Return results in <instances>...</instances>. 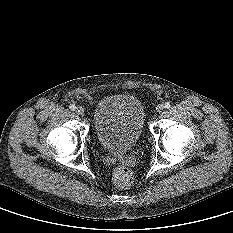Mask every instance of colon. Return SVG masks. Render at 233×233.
Wrapping results in <instances>:
<instances>
[{"label":"colon","mask_w":233,"mask_h":233,"mask_svg":"<svg viewBox=\"0 0 233 233\" xmlns=\"http://www.w3.org/2000/svg\"><path fill=\"white\" fill-rule=\"evenodd\" d=\"M114 183L120 188H127L132 184L133 174L129 168L120 165L113 172Z\"/></svg>","instance_id":"5ec220e1"}]
</instances>
